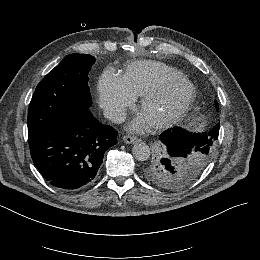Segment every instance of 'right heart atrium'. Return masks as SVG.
Returning a JSON list of instances; mask_svg holds the SVG:
<instances>
[{"instance_id": "d8ad5b80", "label": "right heart atrium", "mask_w": 260, "mask_h": 260, "mask_svg": "<svg viewBox=\"0 0 260 260\" xmlns=\"http://www.w3.org/2000/svg\"><path fill=\"white\" fill-rule=\"evenodd\" d=\"M98 92L102 107L111 106L117 97L115 78L109 73L104 72L98 82Z\"/></svg>"}]
</instances>
